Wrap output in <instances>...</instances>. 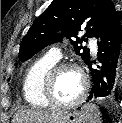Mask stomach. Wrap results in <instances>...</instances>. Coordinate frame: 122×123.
<instances>
[{
    "mask_svg": "<svg viewBox=\"0 0 122 123\" xmlns=\"http://www.w3.org/2000/svg\"><path fill=\"white\" fill-rule=\"evenodd\" d=\"M52 123H88V118L83 111H63L59 118Z\"/></svg>",
    "mask_w": 122,
    "mask_h": 123,
    "instance_id": "obj_1",
    "label": "stomach"
}]
</instances>
